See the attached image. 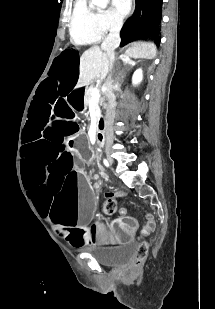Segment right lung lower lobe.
Instances as JSON below:
<instances>
[{
    "mask_svg": "<svg viewBox=\"0 0 215 309\" xmlns=\"http://www.w3.org/2000/svg\"><path fill=\"white\" fill-rule=\"evenodd\" d=\"M133 15L121 29V46L140 38H149L160 43V27L163 0H135Z\"/></svg>",
    "mask_w": 215,
    "mask_h": 309,
    "instance_id": "98d812e1",
    "label": "right lung lower lobe"
}]
</instances>
